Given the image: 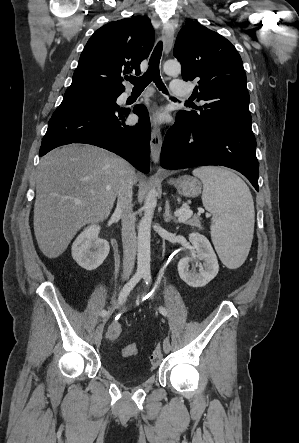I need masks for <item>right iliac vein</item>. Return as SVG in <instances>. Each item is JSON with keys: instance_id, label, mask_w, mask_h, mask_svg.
<instances>
[{"instance_id": "1", "label": "right iliac vein", "mask_w": 299, "mask_h": 443, "mask_svg": "<svg viewBox=\"0 0 299 443\" xmlns=\"http://www.w3.org/2000/svg\"><path fill=\"white\" fill-rule=\"evenodd\" d=\"M102 334H103V323L98 325L94 334V341L96 345L100 344L102 340Z\"/></svg>"}]
</instances>
